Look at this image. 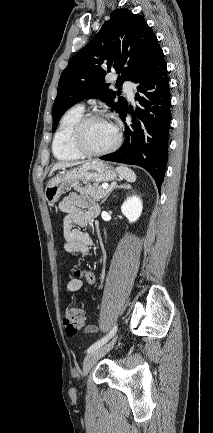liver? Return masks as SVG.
I'll return each instance as SVG.
<instances>
[{
  "mask_svg": "<svg viewBox=\"0 0 213 433\" xmlns=\"http://www.w3.org/2000/svg\"><path fill=\"white\" fill-rule=\"evenodd\" d=\"M83 162H76V163H58L56 165H54V167L51 169L50 174H52L54 171L58 170V169H65L68 167H72L78 164H81Z\"/></svg>",
  "mask_w": 213,
  "mask_h": 433,
  "instance_id": "obj_1",
  "label": "liver"
}]
</instances>
